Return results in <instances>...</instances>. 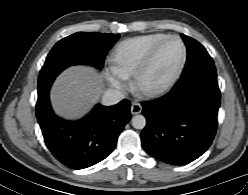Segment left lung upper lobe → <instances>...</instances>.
Segmentation results:
<instances>
[{
	"mask_svg": "<svg viewBox=\"0 0 248 195\" xmlns=\"http://www.w3.org/2000/svg\"><path fill=\"white\" fill-rule=\"evenodd\" d=\"M187 47V61L180 81L189 84L193 81L217 78L214 62L206 49L195 39L181 34Z\"/></svg>",
	"mask_w": 248,
	"mask_h": 195,
	"instance_id": "left-lung-upper-lobe-1",
	"label": "left lung upper lobe"
}]
</instances>
